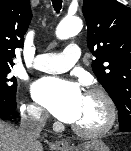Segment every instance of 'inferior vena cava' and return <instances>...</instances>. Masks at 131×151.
Masks as SVG:
<instances>
[{"instance_id": "1", "label": "inferior vena cava", "mask_w": 131, "mask_h": 151, "mask_svg": "<svg viewBox=\"0 0 131 151\" xmlns=\"http://www.w3.org/2000/svg\"><path fill=\"white\" fill-rule=\"evenodd\" d=\"M46 122V116L36 108H28L27 114L22 116L19 133L28 142H35Z\"/></svg>"}]
</instances>
